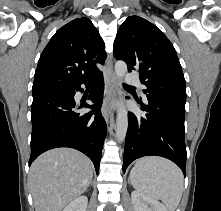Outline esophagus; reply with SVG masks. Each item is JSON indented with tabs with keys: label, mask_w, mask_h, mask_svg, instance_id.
I'll list each match as a JSON object with an SVG mask.
<instances>
[{
	"label": "esophagus",
	"mask_w": 221,
	"mask_h": 211,
	"mask_svg": "<svg viewBox=\"0 0 221 211\" xmlns=\"http://www.w3.org/2000/svg\"><path fill=\"white\" fill-rule=\"evenodd\" d=\"M106 76L108 79V84L106 86L103 106H102V114L106 122H109V118L113 114L115 97L117 94V79L113 70L112 57L109 56L107 60V72Z\"/></svg>",
	"instance_id": "34e87169"
}]
</instances>
